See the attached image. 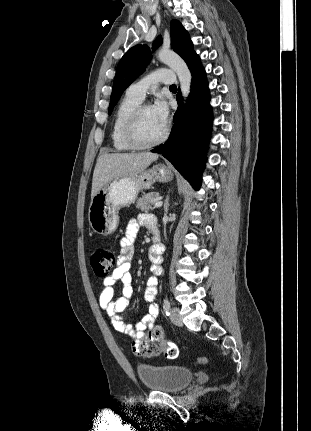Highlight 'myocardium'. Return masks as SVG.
Here are the masks:
<instances>
[{
    "label": "myocardium",
    "mask_w": 311,
    "mask_h": 431,
    "mask_svg": "<svg viewBox=\"0 0 311 431\" xmlns=\"http://www.w3.org/2000/svg\"><path fill=\"white\" fill-rule=\"evenodd\" d=\"M148 107L145 103H140L128 116L125 124V135L127 140L135 148H151L164 142L168 136V128L165 127L162 135L151 141L143 139L141 135V121L144 111Z\"/></svg>",
    "instance_id": "obj_1"
}]
</instances>
